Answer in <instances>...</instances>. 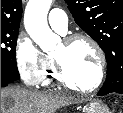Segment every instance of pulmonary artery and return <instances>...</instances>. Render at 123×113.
I'll use <instances>...</instances> for the list:
<instances>
[{"label":"pulmonary artery","mask_w":123,"mask_h":113,"mask_svg":"<svg viewBox=\"0 0 123 113\" xmlns=\"http://www.w3.org/2000/svg\"><path fill=\"white\" fill-rule=\"evenodd\" d=\"M48 23L52 29L64 34L68 27V17L61 9H52L48 15Z\"/></svg>","instance_id":"pulmonary-artery-1"}]
</instances>
